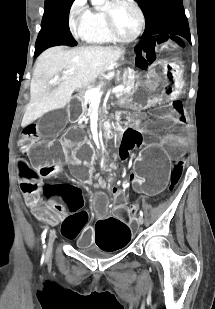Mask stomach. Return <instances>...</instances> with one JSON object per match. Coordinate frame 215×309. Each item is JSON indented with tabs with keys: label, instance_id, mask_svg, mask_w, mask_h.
Masks as SVG:
<instances>
[{
	"label": "stomach",
	"instance_id": "0dacf381",
	"mask_svg": "<svg viewBox=\"0 0 215 309\" xmlns=\"http://www.w3.org/2000/svg\"><path fill=\"white\" fill-rule=\"evenodd\" d=\"M172 48L171 43L162 47L164 51H170ZM183 86L181 62L168 57L154 63L145 75H138L126 97L134 103H143L152 99L169 100L177 97Z\"/></svg>",
	"mask_w": 215,
	"mask_h": 309
}]
</instances>
